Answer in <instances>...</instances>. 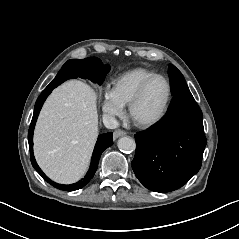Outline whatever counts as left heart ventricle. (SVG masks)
<instances>
[{"mask_svg": "<svg viewBox=\"0 0 239 239\" xmlns=\"http://www.w3.org/2000/svg\"><path fill=\"white\" fill-rule=\"evenodd\" d=\"M168 96V86L163 79H157L145 91L135 109V115L142 120H152L163 110Z\"/></svg>", "mask_w": 239, "mask_h": 239, "instance_id": "b2bd125f", "label": "left heart ventricle"}]
</instances>
